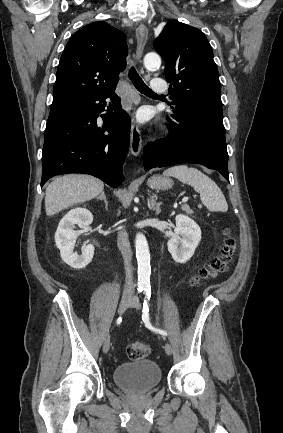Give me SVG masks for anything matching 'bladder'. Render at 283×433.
<instances>
[{
    "label": "bladder",
    "mask_w": 283,
    "mask_h": 433,
    "mask_svg": "<svg viewBox=\"0 0 283 433\" xmlns=\"http://www.w3.org/2000/svg\"><path fill=\"white\" fill-rule=\"evenodd\" d=\"M113 379L127 391L146 392L160 383L161 371L152 360H136L114 369Z\"/></svg>",
    "instance_id": "obj_1"
}]
</instances>
